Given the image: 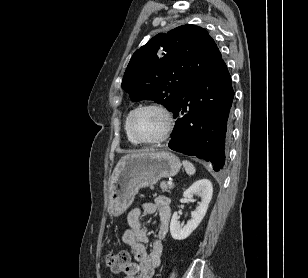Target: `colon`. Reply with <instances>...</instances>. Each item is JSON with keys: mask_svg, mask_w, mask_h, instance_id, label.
Masks as SVG:
<instances>
[{"mask_svg": "<svg viewBox=\"0 0 308 278\" xmlns=\"http://www.w3.org/2000/svg\"><path fill=\"white\" fill-rule=\"evenodd\" d=\"M130 261V254L127 251L111 252L107 255L106 263L115 273H123Z\"/></svg>", "mask_w": 308, "mask_h": 278, "instance_id": "colon-1", "label": "colon"}]
</instances>
